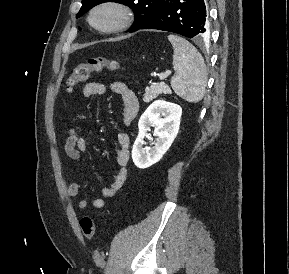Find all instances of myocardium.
Masks as SVG:
<instances>
[{"label": "myocardium", "mask_w": 289, "mask_h": 274, "mask_svg": "<svg viewBox=\"0 0 289 274\" xmlns=\"http://www.w3.org/2000/svg\"><path fill=\"white\" fill-rule=\"evenodd\" d=\"M102 10H110L115 13V21L106 27L98 26L94 23V16ZM134 21V11L132 7L120 0H102L93 5L87 14L89 26L101 34H115L128 29Z\"/></svg>", "instance_id": "f54148a6"}]
</instances>
